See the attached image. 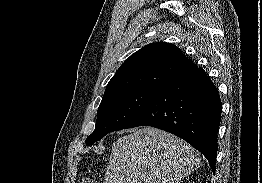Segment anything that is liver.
Segmentation results:
<instances>
[{"label":"liver","instance_id":"obj_1","mask_svg":"<svg viewBox=\"0 0 262 183\" xmlns=\"http://www.w3.org/2000/svg\"><path fill=\"white\" fill-rule=\"evenodd\" d=\"M200 165V153L187 142L144 127L114 142L103 183H180Z\"/></svg>","mask_w":262,"mask_h":183}]
</instances>
